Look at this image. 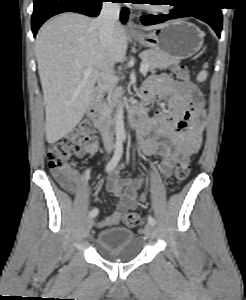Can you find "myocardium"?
<instances>
[{
    "label": "myocardium",
    "instance_id": "myocardium-1",
    "mask_svg": "<svg viewBox=\"0 0 246 300\" xmlns=\"http://www.w3.org/2000/svg\"><path fill=\"white\" fill-rule=\"evenodd\" d=\"M172 8H173V5H171V4H168L167 6L162 7V8H152V7L145 6V9L150 12L162 13V14L170 12Z\"/></svg>",
    "mask_w": 246,
    "mask_h": 300
}]
</instances>
